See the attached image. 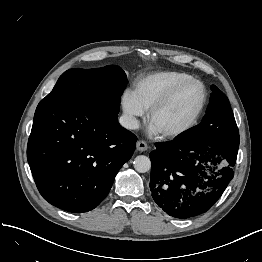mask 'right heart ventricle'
Wrapping results in <instances>:
<instances>
[{"label": "right heart ventricle", "instance_id": "e07e8e85", "mask_svg": "<svg viewBox=\"0 0 262 262\" xmlns=\"http://www.w3.org/2000/svg\"><path fill=\"white\" fill-rule=\"evenodd\" d=\"M190 78L192 77L189 74L178 71L153 73L135 83L133 94L138 103L147 110L173 86Z\"/></svg>", "mask_w": 262, "mask_h": 262}]
</instances>
